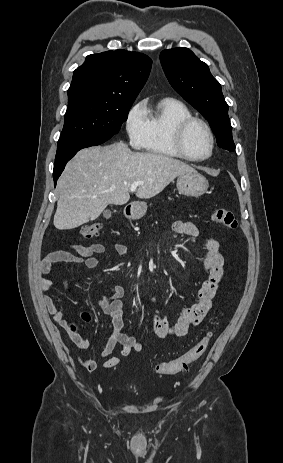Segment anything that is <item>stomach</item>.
Here are the masks:
<instances>
[{
    "label": "stomach",
    "mask_w": 283,
    "mask_h": 463,
    "mask_svg": "<svg viewBox=\"0 0 283 463\" xmlns=\"http://www.w3.org/2000/svg\"><path fill=\"white\" fill-rule=\"evenodd\" d=\"M208 180L197 171L183 174L177 178V189L185 196L199 197L208 189ZM147 211L146 202H136L132 205L130 215L134 219H139Z\"/></svg>",
    "instance_id": "0dacf381"
}]
</instances>
